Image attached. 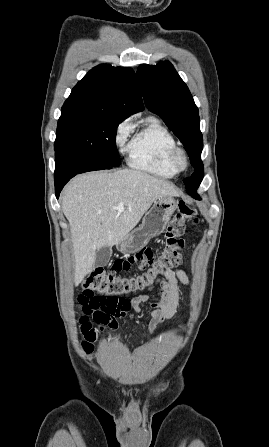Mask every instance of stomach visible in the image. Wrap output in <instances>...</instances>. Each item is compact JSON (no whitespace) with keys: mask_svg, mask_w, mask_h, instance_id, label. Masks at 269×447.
Instances as JSON below:
<instances>
[{"mask_svg":"<svg viewBox=\"0 0 269 447\" xmlns=\"http://www.w3.org/2000/svg\"><path fill=\"white\" fill-rule=\"evenodd\" d=\"M178 208L177 200L172 196L158 198L151 210L145 214L140 227L132 229L121 243H117V249L122 253H134L147 245L150 237L163 233L172 214Z\"/></svg>","mask_w":269,"mask_h":447,"instance_id":"stomach-1","label":"stomach"}]
</instances>
